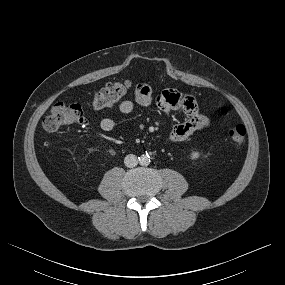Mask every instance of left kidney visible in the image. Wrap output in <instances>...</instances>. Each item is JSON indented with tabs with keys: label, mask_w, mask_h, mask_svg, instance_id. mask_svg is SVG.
<instances>
[{
	"label": "left kidney",
	"mask_w": 285,
	"mask_h": 285,
	"mask_svg": "<svg viewBox=\"0 0 285 285\" xmlns=\"http://www.w3.org/2000/svg\"><path fill=\"white\" fill-rule=\"evenodd\" d=\"M190 157L192 159L196 160L200 157V153L198 151H193V152H191Z\"/></svg>",
	"instance_id": "1"
}]
</instances>
